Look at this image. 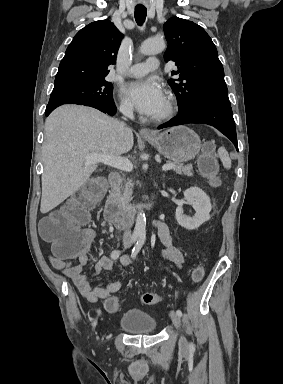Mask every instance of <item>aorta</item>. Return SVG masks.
I'll return each mask as SVG.
<instances>
[{
  "instance_id": "762f6f07",
  "label": "aorta",
  "mask_w": 283,
  "mask_h": 384,
  "mask_svg": "<svg viewBox=\"0 0 283 384\" xmlns=\"http://www.w3.org/2000/svg\"><path fill=\"white\" fill-rule=\"evenodd\" d=\"M166 47V43L161 38H151L144 41L140 51L144 55H155L161 53ZM146 233V217L143 211H139L136 217L134 235L144 237Z\"/></svg>"
}]
</instances>
